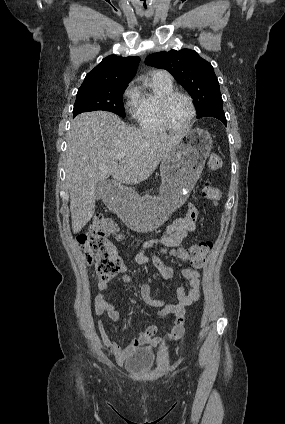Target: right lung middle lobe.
I'll use <instances>...</instances> for the list:
<instances>
[{
  "label": "right lung middle lobe",
  "mask_w": 285,
  "mask_h": 424,
  "mask_svg": "<svg viewBox=\"0 0 285 424\" xmlns=\"http://www.w3.org/2000/svg\"><path fill=\"white\" fill-rule=\"evenodd\" d=\"M128 84L79 88L73 117L88 111L103 110L125 117L123 93Z\"/></svg>",
  "instance_id": "1"
}]
</instances>
